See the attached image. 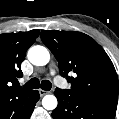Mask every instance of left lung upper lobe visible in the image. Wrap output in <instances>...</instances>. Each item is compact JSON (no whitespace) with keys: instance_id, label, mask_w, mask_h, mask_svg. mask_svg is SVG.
Instances as JSON below:
<instances>
[{"instance_id":"obj_1","label":"left lung upper lobe","mask_w":119,"mask_h":119,"mask_svg":"<svg viewBox=\"0 0 119 119\" xmlns=\"http://www.w3.org/2000/svg\"><path fill=\"white\" fill-rule=\"evenodd\" d=\"M40 35L56 57L60 75L71 83V88L64 91L87 101L117 106L116 70L94 39L76 31L43 30Z\"/></svg>"}]
</instances>
